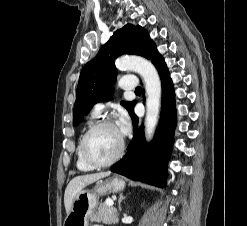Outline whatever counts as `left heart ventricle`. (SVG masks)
<instances>
[{"mask_svg": "<svg viewBox=\"0 0 247 226\" xmlns=\"http://www.w3.org/2000/svg\"><path fill=\"white\" fill-rule=\"evenodd\" d=\"M122 142L117 127H105L93 133L86 145L87 153L96 162L111 159L118 152Z\"/></svg>", "mask_w": 247, "mask_h": 226, "instance_id": "obj_1", "label": "left heart ventricle"}]
</instances>
